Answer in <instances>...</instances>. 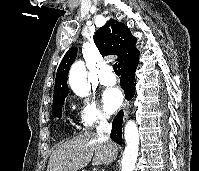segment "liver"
<instances>
[{"label": "liver", "instance_id": "liver-1", "mask_svg": "<svg viewBox=\"0 0 199 171\" xmlns=\"http://www.w3.org/2000/svg\"><path fill=\"white\" fill-rule=\"evenodd\" d=\"M117 154L116 144L101 140L93 132L80 133L56 147L50 156L47 171H77L91 160L94 166L109 164Z\"/></svg>", "mask_w": 199, "mask_h": 171}]
</instances>
